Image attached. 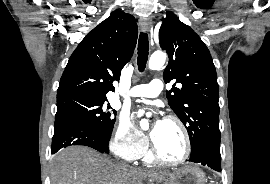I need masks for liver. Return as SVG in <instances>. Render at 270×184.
Returning a JSON list of instances; mask_svg holds the SVG:
<instances>
[{"label": "liver", "instance_id": "liver-1", "mask_svg": "<svg viewBox=\"0 0 270 184\" xmlns=\"http://www.w3.org/2000/svg\"><path fill=\"white\" fill-rule=\"evenodd\" d=\"M144 176L84 146L59 151L51 165V184H142Z\"/></svg>", "mask_w": 270, "mask_h": 184}]
</instances>
